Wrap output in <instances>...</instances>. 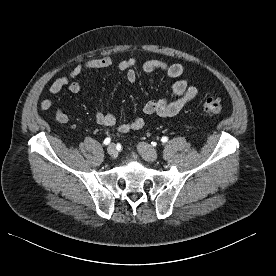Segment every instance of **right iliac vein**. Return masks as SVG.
<instances>
[{"instance_id":"63e3f726","label":"right iliac vein","mask_w":276,"mask_h":276,"mask_svg":"<svg viewBox=\"0 0 276 276\" xmlns=\"http://www.w3.org/2000/svg\"><path fill=\"white\" fill-rule=\"evenodd\" d=\"M107 152L111 157H116L118 154V151L116 149V146L114 144H110L107 148Z\"/></svg>"}]
</instances>
